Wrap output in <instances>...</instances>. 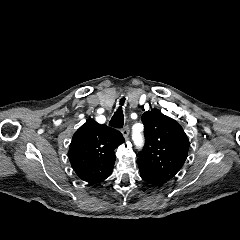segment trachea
I'll use <instances>...</instances> for the list:
<instances>
[{
    "instance_id": "trachea-1",
    "label": "trachea",
    "mask_w": 240,
    "mask_h": 240,
    "mask_svg": "<svg viewBox=\"0 0 240 240\" xmlns=\"http://www.w3.org/2000/svg\"><path fill=\"white\" fill-rule=\"evenodd\" d=\"M125 102V98H122L120 100V105H123V103ZM109 125L111 127H115V128H122L124 125V115H123V111L121 109V107H119V109H117V111L114 113L113 117L111 118Z\"/></svg>"
}]
</instances>
